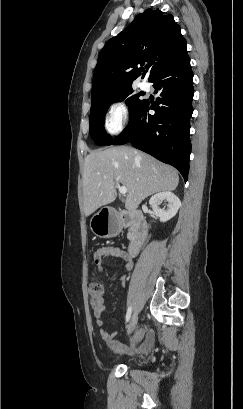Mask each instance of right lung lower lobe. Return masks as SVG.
<instances>
[{"label":"right lung lower lobe","mask_w":243,"mask_h":409,"mask_svg":"<svg viewBox=\"0 0 243 409\" xmlns=\"http://www.w3.org/2000/svg\"><path fill=\"white\" fill-rule=\"evenodd\" d=\"M192 79L190 58L184 46L151 79L159 95L154 105L143 100L128 126L109 145L130 142L135 148L174 166L186 182L191 153ZM149 109L155 110V114L150 115Z\"/></svg>","instance_id":"right-lung-lower-lobe-1"}]
</instances>
